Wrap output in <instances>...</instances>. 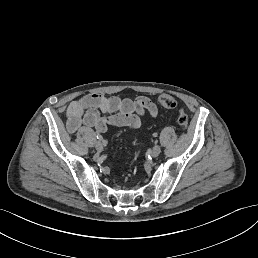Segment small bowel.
Returning <instances> with one entry per match:
<instances>
[{
	"instance_id": "obj_1",
	"label": "small bowel",
	"mask_w": 258,
	"mask_h": 258,
	"mask_svg": "<svg viewBox=\"0 0 258 258\" xmlns=\"http://www.w3.org/2000/svg\"><path fill=\"white\" fill-rule=\"evenodd\" d=\"M152 117L158 114L156 104L148 97L140 96L134 100L117 96L87 94L72 101L66 111L67 129L76 132L81 126L104 133L112 127L138 128L145 113ZM101 113H107L102 116Z\"/></svg>"
}]
</instances>
